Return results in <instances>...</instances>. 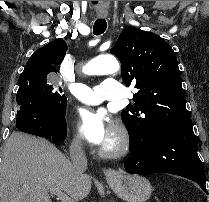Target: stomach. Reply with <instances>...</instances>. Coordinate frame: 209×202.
<instances>
[{"label": "stomach", "mask_w": 209, "mask_h": 202, "mask_svg": "<svg viewBox=\"0 0 209 202\" xmlns=\"http://www.w3.org/2000/svg\"><path fill=\"white\" fill-rule=\"evenodd\" d=\"M107 181L114 193L127 202H145L152 193L150 182L139 175L118 173Z\"/></svg>", "instance_id": "obj_1"}]
</instances>
